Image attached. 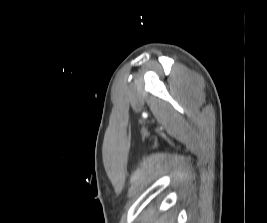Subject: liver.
<instances>
[{
    "label": "liver",
    "instance_id": "liver-1",
    "mask_svg": "<svg viewBox=\"0 0 267 223\" xmlns=\"http://www.w3.org/2000/svg\"><path fill=\"white\" fill-rule=\"evenodd\" d=\"M156 223H173V220L168 221L167 216H162Z\"/></svg>",
    "mask_w": 267,
    "mask_h": 223
}]
</instances>
